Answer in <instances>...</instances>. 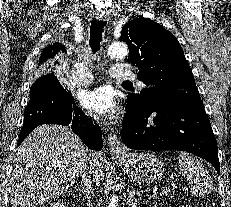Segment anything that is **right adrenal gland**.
<instances>
[{
  "mask_svg": "<svg viewBox=\"0 0 231 207\" xmlns=\"http://www.w3.org/2000/svg\"><path fill=\"white\" fill-rule=\"evenodd\" d=\"M77 190H79V191L83 192V190H80V189H77Z\"/></svg>",
  "mask_w": 231,
  "mask_h": 207,
  "instance_id": "obj_1",
  "label": "right adrenal gland"
}]
</instances>
